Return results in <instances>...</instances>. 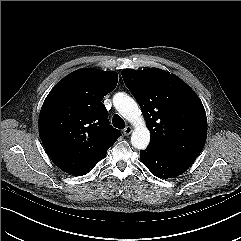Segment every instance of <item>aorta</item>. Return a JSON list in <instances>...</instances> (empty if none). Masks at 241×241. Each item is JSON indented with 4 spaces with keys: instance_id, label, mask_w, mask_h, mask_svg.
<instances>
[{
    "instance_id": "aorta-1",
    "label": "aorta",
    "mask_w": 241,
    "mask_h": 241,
    "mask_svg": "<svg viewBox=\"0 0 241 241\" xmlns=\"http://www.w3.org/2000/svg\"><path fill=\"white\" fill-rule=\"evenodd\" d=\"M113 104L120 115L134 126L131 135L132 146L139 150L146 149L150 142V132L136 101L129 95L119 92L114 95Z\"/></svg>"
}]
</instances>
